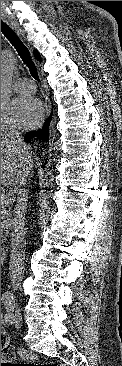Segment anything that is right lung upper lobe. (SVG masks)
<instances>
[{"mask_svg":"<svg viewBox=\"0 0 122 366\" xmlns=\"http://www.w3.org/2000/svg\"><path fill=\"white\" fill-rule=\"evenodd\" d=\"M35 57L37 60L41 61V58H40V55H39V52L38 51H35Z\"/></svg>","mask_w":122,"mask_h":366,"instance_id":"cb5924a9","label":"right lung upper lobe"}]
</instances>
